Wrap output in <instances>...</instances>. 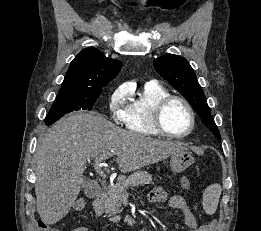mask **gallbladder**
<instances>
[{"instance_id":"gallbladder-1","label":"gallbladder","mask_w":261,"mask_h":231,"mask_svg":"<svg viewBox=\"0 0 261 231\" xmlns=\"http://www.w3.org/2000/svg\"><path fill=\"white\" fill-rule=\"evenodd\" d=\"M99 189L100 188H99V186L96 183H94L93 181L88 180L87 181V185L85 187V194H86V196L95 195V194L98 193Z\"/></svg>"}]
</instances>
